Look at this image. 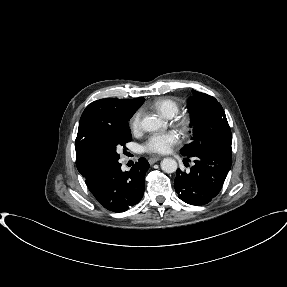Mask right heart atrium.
Segmentation results:
<instances>
[{"label": "right heart atrium", "instance_id": "1", "mask_svg": "<svg viewBox=\"0 0 287 287\" xmlns=\"http://www.w3.org/2000/svg\"><path fill=\"white\" fill-rule=\"evenodd\" d=\"M142 112L137 110L130 118L129 124L133 131H139L141 129Z\"/></svg>", "mask_w": 287, "mask_h": 287}]
</instances>
